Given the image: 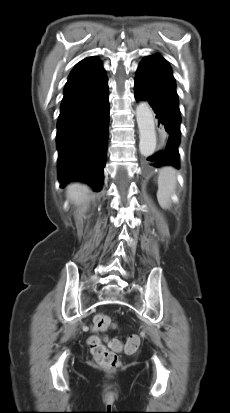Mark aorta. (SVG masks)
Instances as JSON below:
<instances>
[{
	"label": "aorta",
	"mask_w": 230,
	"mask_h": 413,
	"mask_svg": "<svg viewBox=\"0 0 230 413\" xmlns=\"http://www.w3.org/2000/svg\"><path fill=\"white\" fill-rule=\"evenodd\" d=\"M136 119L139 128V149L143 156L148 157L155 151L157 144L154 113L147 102H141L136 108Z\"/></svg>",
	"instance_id": "762f6f07"
}]
</instances>
